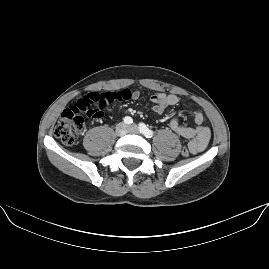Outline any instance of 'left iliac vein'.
Returning <instances> with one entry per match:
<instances>
[{"label": "left iliac vein", "mask_w": 269, "mask_h": 269, "mask_svg": "<svg viewBox=\"0 0 269 269\" xmlns=\"http://www.w3.org/2000/svg\"><path fill=\"white\" fill-rule=\"evenodd\" d=\"M128 132L129 133H138L139 132V128L137 125H131L128 127Z\"/></svg>", "instance_id": "obj_1"}]
</instances>
